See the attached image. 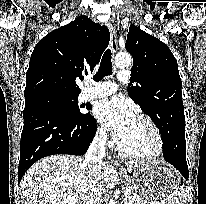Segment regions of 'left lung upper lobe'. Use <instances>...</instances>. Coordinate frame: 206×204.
Here are the masks:
<instances>
[{
  "mask_svg": "<svg viewBox=\"0 0 206 204\" xmlns=\"http://www.w3.org/2000/svg\"><path fill=\"white\" fill-rule=\"evenodd\" d=\"M126 50L133 57L128 94L164 138L173 128L185 125L177 61L168 46L134 24L129 28Z\"/></svg>",
  "mask_w": 206,
  "mask_h": 204,
  "instance_id": "left-lung-upper-lobe-1",
  "label": "left lung upper lobe"
}]
</instances>
